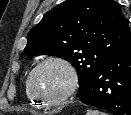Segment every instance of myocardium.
I'll return each mask as SVG.
<instances>
[{
  "mask_svg": "<svg viewBox=\"0 0 131 115\" xmlns=\"http://www.w3.org/2000/svg\"><path fill=\"white\" fill-rule=\"evenodd\" d=\"M48 64H57L63 67L67 74H68V84L64 91L57 97L55 98H43L40 95H38L34 89H33V77L35 73L42 68L45 65ZM27 89L30 95L37 100L41 105L48 106V107H53V106H58L64 101H66L76 90L78 86V73L76 71V68L73 66V64L60 56H49L41 61H39L29 72L28 77H27Z\"/></svg>",
  "mask_w": 131,
  "mask_h": 115,
  "instance_id": "obj_1",
  "label": "myocardium"
}]
</instances>
